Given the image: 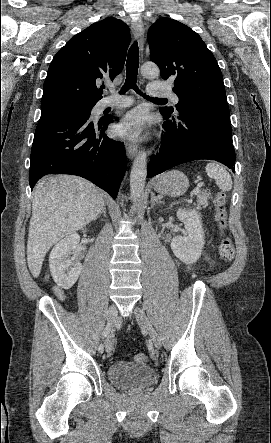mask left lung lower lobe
I'll return each mask as SVG.
<instances>
[{"mask_svg":"<svg viewBox=\"0 0 271 443\" xmlns=\"http://www.w3.org/2000/svg\"><path fill=\"white\" fill-rule=\"evenodd\" d=\"M202 100L197 107L180 109L176 114L160 109L164 119H172L162 124L166 133L161 138L159 153L150 160L148 178L199 159L221 162L234 172L235 152L227 102L216 98Z\"/></svg>","mask_w":271,"mask_h":443,"instance_id":"left-lung-lower-lobe-1","label":"left lung lower lobe"}]
</instances>
